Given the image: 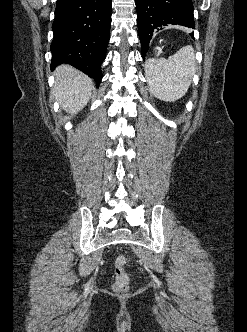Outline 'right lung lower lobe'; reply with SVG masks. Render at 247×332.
<instances>
[{"mask_svg":"<svg viewBox=\"0 0 247 332\" xmlns=\"http://www.w3.org/2000/svg\"><path fill=\"white\" fill-rule=\"evenodd\" d=\"M56 5L51 68L70 64L98 87L110 38L112 0H57Z\"/></svg>","mask_w":247,"mask_h":332,"instance_id":"98d812e1","label":"right lung lower lobe"}]
</instances>
